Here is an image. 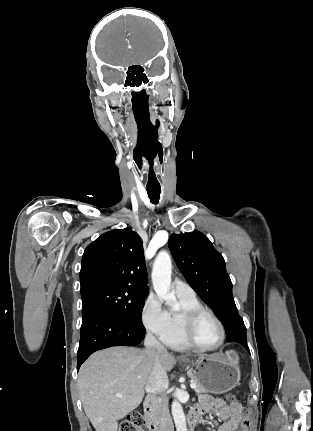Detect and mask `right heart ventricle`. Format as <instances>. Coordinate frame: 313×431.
Instances as JSON below:
<instances>
[{"mask_svg":"<svg viewBox=\"0 0 313 431\" xmlns=\"http://www.w3.org/2000/svg\"><path fill=\"white\" fill-rule=\"evenodd\" d=\"M180 302L179 310L168 311L169 328L162 341L171 349L186 350L190 346L183 336V319L186 312L202 307L200 301L194 296L177 295Z\"/></svg>","mask_w":313,"mask_h":431,"instance_id":"right-heart-ventricle-1","label":"right heart ventricle"}]
</instances>
